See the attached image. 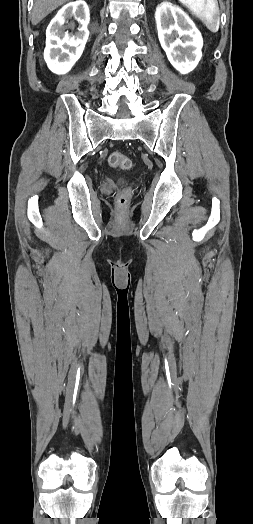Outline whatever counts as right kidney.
Wrapping results in <instances>:
<instances>
[{"label": "right kidney", "mask_w": 253, "mask_h": 524, "mask_svg": "<svg viewBox=\"0 0 253 524\" xmlns=\"http://www.w3.org/2000/svg\"><path fill=\"white\" fill-rule=\"evenodd\" d=\"M72 17L79 24L78 31L64 32ZM89 20V8L83 0L68 3L52 19L46 30L44 59L53 73L66 74L81 57L89 37ZM69 26L74 29L75 23Z\"/></svg>", "instance_id": "1"}]
</instances>
